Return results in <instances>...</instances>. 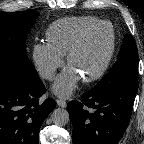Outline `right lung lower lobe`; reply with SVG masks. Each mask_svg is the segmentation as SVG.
I'll list each match as a JSON object with an SVG mask.
<instances>
[{"label":"right lung lower lobe","mask_w":144,"mask_h":144,"mask_svg":"<svg viewBox=\"0 0 144 144\" xmlns=\"http://www.w3.org/2000/svg\"><path fill=\"white\" fill-rule=\"evenodd\" d=\"M46 89L40 78L33 84L0 78V144H39L40 127L55 101L40 97Z\"/></svg>","instance_id":"right-lung-lower-lobe-1"}]
</instances>
